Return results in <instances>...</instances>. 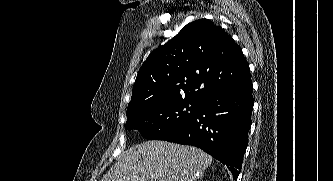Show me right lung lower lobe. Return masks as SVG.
I'll return each mask as SVG.
<instances>
[{
    "mask_svg": "<svg viewBox=\"0 0 333 181\" xmlns=\"http://www.w3.org/2000/svg\"><path fill=\"white\" fill-rule=\"evenodd\" d=\"M252 92L250 79L206 96L189 123L167 141L204 150L226 165L236 180L248 145Z\"/></svg>",
    "mask_w": 333,
    "mask_h": 181,
    "instance_id": "98d812e1",
    "label": "right lung lower lobe"
}]
</instances>
